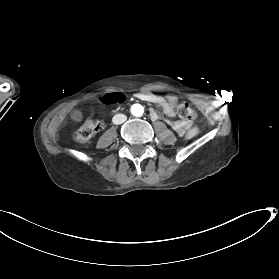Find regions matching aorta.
Instances as JSON below:
<instances>
[{"label":"aorta","mask_w":279,"mask_h":279,"mask_svg":"<svg viewBox=\"0 0 279 279\" xmlns=\"http://www.w3.org/2000/svg\"><path fill=\"white\" fill-rule=\"evenodd\" d=\"M144 112L143 107L140 104H133L131 106V113L134 116H141Z\"/></svg>","instance_id":"762f6f07"}]
</instances>
